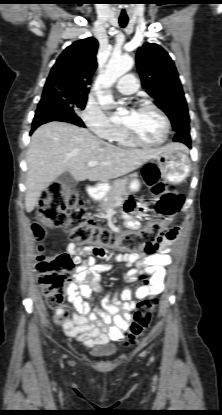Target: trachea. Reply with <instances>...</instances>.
<instances>
[{"label":"trachea","instance_id":"3493384b","mask_svg":"<svg viewBox=\"0 0 222 415\" xmlns=\"http://www.w3.org/2000/svg\"><path fill=\"white\" fill-rule=\"evenodd\" d=\"M127 23H128V20L119 19L120 27L122 28L126 27Z\"/></svg>","mask_w":222,"mask_h":415}]
</instances>
